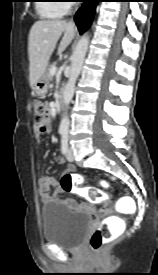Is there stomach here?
<instances>
[{"mask_svg": "<svg viewBox=\"0 0 158 275\" xmlns=\"http://www.w3.org/2000/svg\"><path fill=\"white\" fill-rule=\"evenodd\" d=\"M49 85V79L47 77V74L44 73L35 83L33 86V92L36 96H43L47 93Z\"/></svg>", "mask_w": 158, "mask_h": 275, "instance_id": "stomach-1", "label": "stomach"}]
</instances>
